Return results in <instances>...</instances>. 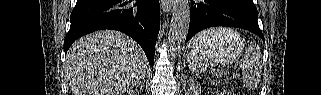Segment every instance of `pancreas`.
Listing matches in <instances>:
<instances>
[{"label":"pancreas","mask_w":321,"mask_h":95,"mask_svg":"<svg viewBox=\"0 0 321 95\" xmlns=\"http://www.w3.org/2000/svg\"><path fill=\"white\" fill-rule=\"evenodd\" d=\"M191 88L192 90H195L196 92H199L200 90V85L194 81H191Z\"/></svg>","instance_id":"obj_1"}]
</instances>
